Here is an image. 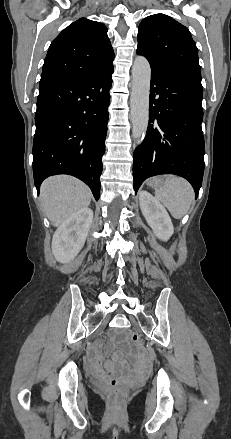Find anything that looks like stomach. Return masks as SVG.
I'll return each instance as SVG.
<instances>
[{
    "mask_svg": "<svg viewBox=\"0 0 231 439\" xmlns=\"http://www.w3.org/2000/svg\"><path fill=\"white\" fill-rule=\"evenodd\" d=\"M163 183V178L158 177V178H153L149 181V185L152 187H158Z\"/></svg>",
    "mask_w": 231,
    "mask_h": 439,
    "instance_id": "0dacf381",
    "label": "stomach"
}]
</instances>
